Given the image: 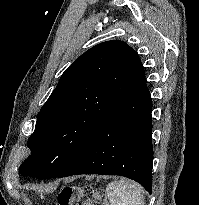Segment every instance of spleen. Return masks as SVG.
I'll return each instance as SVG.
<instances>
[{
	"instance_id": "3e777b00",
	"label": "spleen",
	"mask_w": 199,
	"mask_h": 205,
	"mask_svg": "<svg viewBox=\"0 0 199 205\" xmlns=\"http://www.w3.org/2000/svg\"><path fill=\"white\" fill-rule=\"evenodd\" d=\"M111 205H145L142 188L128 180H116L106 187Z\"/></svg>"
}]
</instances>
